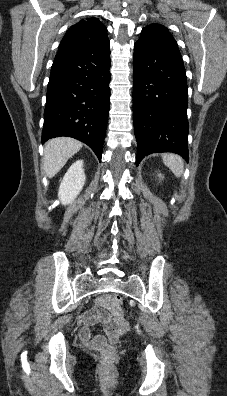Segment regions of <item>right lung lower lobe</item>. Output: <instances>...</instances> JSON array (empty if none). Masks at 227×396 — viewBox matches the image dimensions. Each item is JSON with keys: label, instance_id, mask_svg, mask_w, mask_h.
Listing matches in <instances>:
<instances>
[{"label": "right lung lower lobe", "instance_id": "obj_1", "mask_svg": "<svg viewBox=\"0 0 227 396\" xmlns=\"http://www.w3.org/2000/svg\"><path fill=\"white\" fill-rule=\"evenodd\" d=\"M110 44L57 54L51 68L42 143L69 136L101 161L109 112Z\"/></svg>", "mask_w": 227, "mask_h": 396}]
</instances>
